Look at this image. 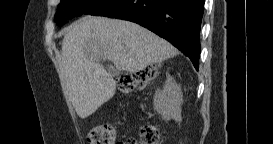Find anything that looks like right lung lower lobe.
Instances as JSON below:
<instances>
[{
	"mask_svg": "<svg viewBox=\"0 0 273 144\" xmlns=\"http://www.w3.org/2000/svg\"><path fill=\"white\" fill-rule=\"evenodd\" d=\"M204 0H109L90 15L132 21L165 38L190 58H200Z\"/></svg>",
	"mask_w": 273,
	"mask_h": 144,
	"instance_id": "right-lung-lower-lobe-1",
	"label": "right lung lower lobe"
}]
</instances>
